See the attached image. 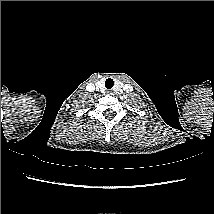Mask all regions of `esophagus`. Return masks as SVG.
<instances>
[{
	"mask_svg": "<svg viewBox=\"0 0 214 214\" xmlns=\"http://www.w3.org/2000/svg\"><path fill=\"white\" fill-rule=\"evenodd\" d=\"M108 94H112V92L110 90L107 91Z\"/></svg>",
	"mask_w": 214,
	"mask_h": 214,
	"instance_id": "esophagus-1",
	"label": "esophagus"
}]
</instances>
